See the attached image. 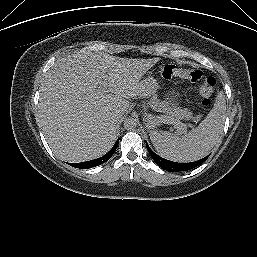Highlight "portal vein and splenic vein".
Returning a JSON list of instances; mask_svg holds the SVG:
<instances>
[{
  "label": "portal vein and splenic vein",
  "instance_id": "obj_1",
  "mask_svg": "<svg viewBox=\"0 0 257 257\" xmlns=\"http://www.w3.org/2000/svg\"><path fill=\"white\" fill-rule=\"evenodd\" d=\"M107 91H108L107 90V84L103 82L98 87L97 94H105V93H107ZM161 119H163V118L161 117ZM163 120L166 121L169 124H173L174 127L177 129L178 134H182L184 132V130L188 127V125L182 123L179 120H173V119H170V118H166V119H163Z\"/></svg>",
  "mask_w": 257,
  "mask_h": 257
}]
</instances>
